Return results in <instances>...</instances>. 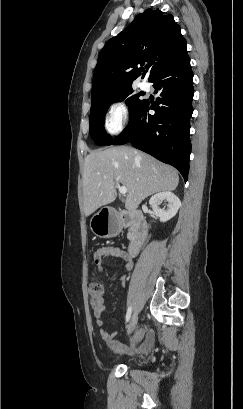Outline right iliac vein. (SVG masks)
I'll list each match as a JSON object with an SVG mask.
<instances>
[{
	"instance_id": "63e3f726",
	"label": "right iliac vein",
	"mask_w": 243,
	"mask_h": 409,
	"mask_svg": "<svg viewBox=\"0 0 243 409\" xmlns=\"http://www.w3.org/2000/svg\"><path fill=\"white\" fill-rule=\"evenodd\" d=\"M138 321V312L135 310L131 316L130 323L127 328V335L129 336L135 329Z\"/></svg>"
}]
</instances>
